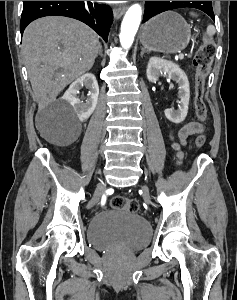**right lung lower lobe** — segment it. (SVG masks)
I'll use <instances>...</instances> for the list:
<instances>
[{"instance_id": "98d812e1", "label": "right lung lower lobe", "mask_w": 237, "mask_h": 300, "mask_svg": "<svg viewBox=\"0 0 237 300\" xmlns=\"http://www.w3.org/2000/svg\"><path fill=\"white\" fill-rule=\"evenodd\" d=\"M67 16L80 20L95 30L106 42L113 13L109 6L90 1H24L20 31L44 16Z\"/></svg>"}]
</instances>
